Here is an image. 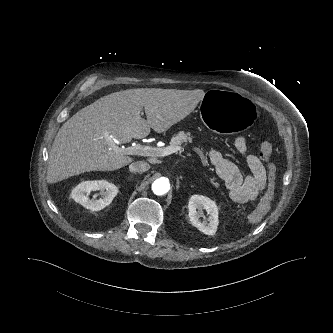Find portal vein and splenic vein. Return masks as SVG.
<instances>
[{
    "label": "portal vein and splenic vein",
    "mask_w": 333,
    "mask_h": 333,
    "mask_svg": "<svg viewBox=\"0 0 333 333\" xmlns=\"http://www.w3.org/2000/svg\"><path fill=\"white\" fill-rule=\"evenodd\" d=\"M183 149L184 148L181 146H168L166 148H157L151 146H143L141 144H135L129 147L114 146V150L125 155L158 156V157L168 156Z\"/></svg>",
    "instance_id": "18ae733b"
}]
</instances>
